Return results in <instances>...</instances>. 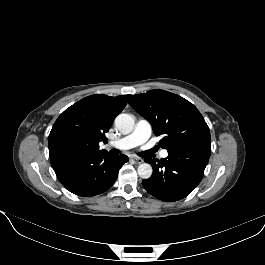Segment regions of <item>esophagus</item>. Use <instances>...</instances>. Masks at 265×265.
I'll return each mask as SVG.
<instances>
[{
    "label": "esophagus",
    "mask_w": 265,
    "mask_h": 265,
    "mask_svg": "<svg viewBox=\"0 0 265 265\" xmlns=\"http://www.w3.org/2000/svg\"><path fill=\"white\" fill-rule=\"evenodd\" d=\"M132 159L134 160V162L136 164H141L143 162V159L142 158H139V157H133Z\"/></svg>",
    "instance_id": "1"
}]
</instances>
